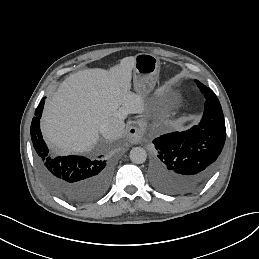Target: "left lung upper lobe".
<instances>
[{"label":"left lung upper lobe","mask_w":259,"mask_h":259,"mask_svg":"<svg viewBox=\"0 0 259 259\" xmlns=\"http://www.w3.org/2000/svg\"><path fill=\"white\" fill-rule=\"evenodd\" d=\"M195 82H196L197 86H198L199 88H201V89H206V88H208V87H206L205 85H203L201 82H199L198 80H195Z\"/></svg>","instance_id":"obj_1"}]
</instances>
